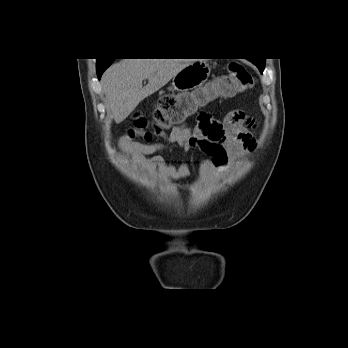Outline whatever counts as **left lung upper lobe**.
Masks as SVG:
<instances>
[{"mask_svg":"<svg viewBox=\"0 0 348 348\" xmlns=\"http://www.w3.org/2000/svg\"><path fill=\"white\" fill-rule=\"evenodd\" d=\"M255 65H257V67L259 68L260 72H263L264 66H265V59L262 60H257V61H253Z\"/></svg>","mask_w":348,"mask_h":348,"instance_id":"1","label":"left lung upper lobe"}]
</instances>
